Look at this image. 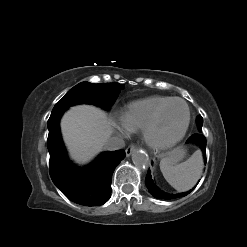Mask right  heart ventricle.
<instances>
[{
	"instance_id": "right-heart-ventricle-1",
	"label": "right heart ventricle",
	"mask_w": 247,
	"mask_h": 247,
	"mask_svg": "<svg viewBox=\"0 0 247 247\" xmlns=\"http://www.w3.org/2000/svg\"><path fill=\"white\" fill-rule=\"evenodd\" d=\"M171 98L155 95L131 102L123 117L131 130H143L157 109Z\"/></svg>"
}]
</instances>
